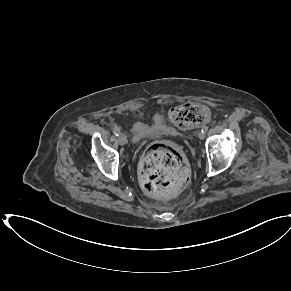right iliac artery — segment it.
Returning <instances> with one entry per match:
<instances>
[{
    "mask_svg": "<svg viewBox=\"0 0 291 291\" xmlns=\"http://www.w3.org/2000/svg\"><path fill=\"white\" fill-rule=\"evenodd\" d=\"M113 131H114V134L116 135V136H119V134H120V128L119 127H114V129H113Z\"/></svg>",
    "mask_w": 291,
    "mask_h": 291,
    "instance_id": "right-iliac-artery-1",
    "label": "right iliac artery"
}]
</instances>
